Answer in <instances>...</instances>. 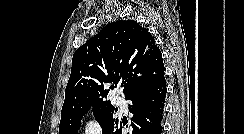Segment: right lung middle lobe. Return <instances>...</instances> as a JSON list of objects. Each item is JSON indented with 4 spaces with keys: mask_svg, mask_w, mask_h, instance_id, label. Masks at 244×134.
Returning a JSON list of instances; mask_svg holds the SVG:
<instances>
[{
    "mask_svg": "<svg viewBox=\"0 0 244 134\" xmlns=\"http://www.w3.org/2000/svg\"><path fill=\"white\" fill-rule=\"evenodd\" d=\"M90 108L86 109L77 116L61 119L59 126V134H78L81 126L82 116L85 115ZM93 114L98 123L103 128V134L107 131L110 125L116 120L115 114L117 109L109 102H104L92 107Z\"/></svg>",
    "mask_w": 244,
    "mask_h": 134,
    "instance_id": "obj_1",
    "label": "right lung middle lobe"
}]
</instances>
